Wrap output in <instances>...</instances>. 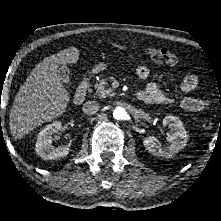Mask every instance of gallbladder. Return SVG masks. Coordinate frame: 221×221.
Listing matches in <instances>:
<instances>
[{
	"label": "gallbladder",
	"instance_id": "1",
	"mask_svg": "<svg viewBox=\"0 0 221 221\" xmlns=\"http://www.w3.org/2000/svg\"><path fill=\"white\" fill-rule=\"evenodd\" d=\"M58 74L60 76V80L62 83L66 85H70V70L67 65H61L58 70Z\"/></svg>",
	"mask_w": 221,
	"mask_h": 221
}]
</instances>
